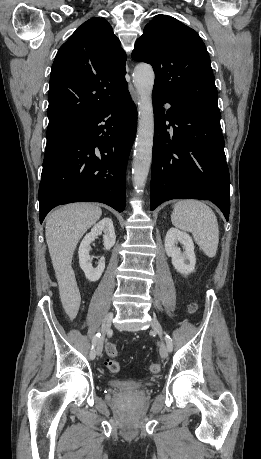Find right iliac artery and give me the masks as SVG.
Masks as SVG:
<instances>
[{
	"mask_svg": "<svg viewBox=\"0 0 261 459\" xmlns=\"http://www.w3.org/2000/svg\"><path fill=\"white\" fill-rule=\"evenodd\" d=\"M100 336H101V333L98 332V333L95 334V336L92 339V347H91V351H90V358L91 359L95 358V346H96Z\"/></svg>",
	"mask_w": 261,
	"mask_h": 459,
	"instance_id": "82829eb1",
	"label": "right iliac artery"
}]
</instances>
